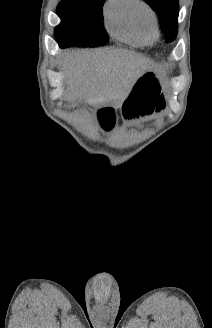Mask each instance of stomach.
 <instances>
[{
    "instance_id": "stomach-1",
    "label": "stomach",
    "mask_w": 212,
    "mask_h": 328,
    "mask_svg": "<svg viewBox=\"0 0 212 328\" xmlns=\"http://www.w3.org/2000/svg\"><path fill=\"white\" fill-rule=\"evenodd\" d=\"M162 80L155 69L144 71L134 82L130 92L123 100L116 105H100L95 110V115L100 119L96 122V127L100 129V134H112V129L119 128L120 124H131L133 118L130 116L142 115V119H150V115H160V109L164 108ZM142 109V110H140ZM144 109V110H143ZM155 109V110H154ZM140 111V112H139ZM119 112V113H117ZM87 115H92V110H87ZM103 128H109L107 131Z\"/></svg>"
}]
</instances>
